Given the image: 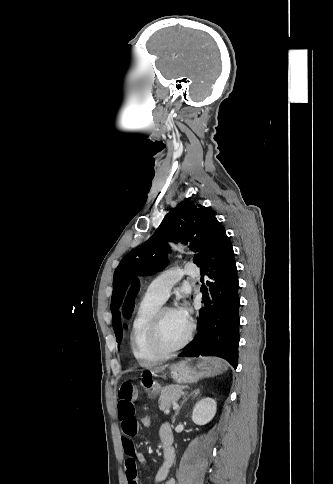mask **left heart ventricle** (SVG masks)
<instances>
[{
    "instance_id": "obj_1",
    "label": "left heart ventricle",
    "mask_w": 333,
    "mask_h": 484,
    "mask_svg": "<svg viewBox=\"0 0 333 484\" xmlns=\"http://www.w3.org/2000/svg\"><path fill=\"white\" fill-rule=\"evenodd\" d=\"M189 323L185 322L175 310L165 312L161 325V339L166 348L181 343L187 335Z\"/></svg>"
}]
</instances>
